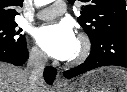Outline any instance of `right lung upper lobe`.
I'll return each instance as SVG.
<instances>
[{
	"label": "right lung upper lobe",
	"instance_id": "right-lung-upper-lobe-1",
	"mask_svg": "<svg viewBox=\"0 0 127 92\" xmlns=\"http://www.w3.org/2000/svg\"><path fill=\"white\" fill-rule=\"evenodd\" d=\"M23 0H0V24L13 23L18 13L14 7H22Z\"/></svg>",
	"mask_w": 127,
	"mask_h": 92
}]
</instances>
